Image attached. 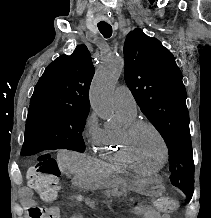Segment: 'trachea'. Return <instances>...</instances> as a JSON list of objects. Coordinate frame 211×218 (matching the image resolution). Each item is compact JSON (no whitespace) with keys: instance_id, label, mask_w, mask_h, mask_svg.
Segmentation results:
<instances>
[{"instance_id":"1","label":"trachea","mask_w":211,"mask_h":218,"mask_svg":"<svg viewBox=\"0 0 211 218\" xmlns=\"http://www.w3.org/2000/svg\"><path fill=\"white\" fill-rule=\"evenodd\" d=\"M98 29L105 38H109L112 35L111 25H98Z\"/></svg>"}]
</instances>
